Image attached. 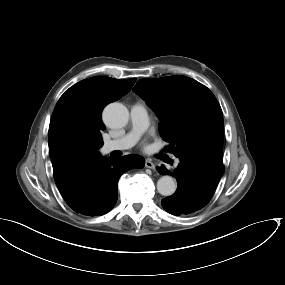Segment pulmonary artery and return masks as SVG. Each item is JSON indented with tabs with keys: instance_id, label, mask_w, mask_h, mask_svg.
Returning <instances> with one entry per match:
<instances>
[{
	"instance_id": "obj_1",
	"label": "pulmonary artery",
	"mask_w": 285,
	"mask_h": 285,
	"mask_svg": "<svg viewBox=\"0 0 285 285\" xmlns=\"http://www.w3.org/2000/svg\"><path fill=\"white\" fill-rule=\"evenodd\" d=\"M131 130L123 136L105 141L103 144V152L109 153L113 151H122L131 148L139 136L146 130L148 126L147 111L142 102H136L130 109Z\"/></svg>"
}]
</instances>
